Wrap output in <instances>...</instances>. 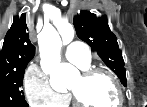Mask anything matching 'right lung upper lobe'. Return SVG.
<instances>
[{
	"label": "right lung upper lobe",
	"instance_id": "right-lung-upper-lobe-1",
	"mask_svg": "<svg viewBox=\"0 0 147 107\" xmlns=\"http://www.w3.org/2000/svg\"><path fill=\"white\" fill-rule=\"evenodd\" d=\"M27 31L25 14L14 18L0 53V75L26 68L34 57L35 47Z\"/></svg>",
	"mask_w": 147,
	"mask_h": 107
}]
</instances>
